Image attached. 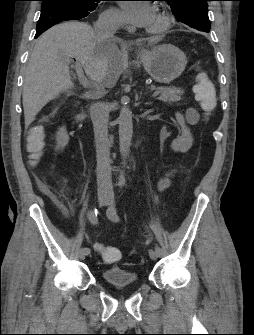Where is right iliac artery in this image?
<instances>
[{"instance_id": "1", "label": "right iliac artery", "mask_w": 254, "mask_h": 335, "mask_svg": "<svg viewBox=\"0 0 254 335\" xmlns=\"http://www.w3.org/2000/svg\"><path fill=\"white\" fill-rule=\"evenodd\" d=\"M97 214H98V211H97L96 208H95V209H92V210L89 211L88 218H89L90 222H91L93 225H97V224H98V217H97ZM83 249H84L86 255H89V254L91 253L90 248L85 247V248H83Z\"/></svg>"}]
</instances>
